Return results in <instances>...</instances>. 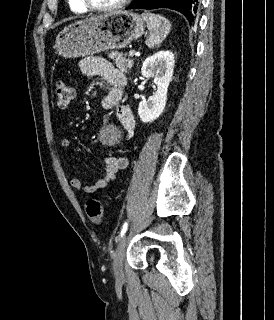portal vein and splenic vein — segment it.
<instances>
[{"instance_id": "1", "label": "portal vein and splenic vein", "mask_w": 274, "mask_h": 320, "mask_svg": "<svg viewBox=\"0 0 274 320\" xmlns=\"http://www.w3.org/2000/svg\"><path fill=\"white\" fill-rule=\"evenodd\" d=\"M129 56H139V52H133V50H131V52H129Z\"/></svg>"}]
</instances>
